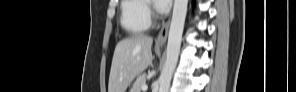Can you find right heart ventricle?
<instances>
[{"mask_svg": "<svg viewBox=\"0 0 296 92\" xmlns=\"http://www.w3.org/2000/svg\"><path fill=\"white\" fill-rule=\"evenodd\" d=\"M146 1L124 0L121 2L120 22L123 29L132 35L145 32L150 21L146 14Z\"/></svg>", "mask_w": 296, "mask_h": 92, "instance_id": "1", "label": "right heart ventricle"}]
</instances>
